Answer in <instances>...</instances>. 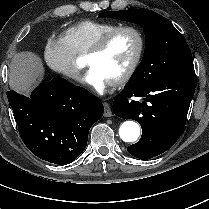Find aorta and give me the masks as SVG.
Returning a JSON list of instances; mask_svg holds the SVG:
<instances>
[{
    "mask_svg": "<svg viewBox=\"0 0 209 209\" xmlns=\"http://www.w3.org/2000/svg\"><path fill=\"white\" fill-rule=\"evenodd\" d=\"M119 135L124 142H135L140 136V126L135 121H125L119 128Z\"/></svg>",
    "mask_w": 209,
    "mask_h": 209,
    "instance_id": "1",
    "label": "aorta"
}]
</instances>
